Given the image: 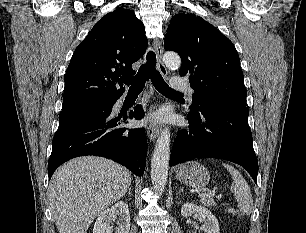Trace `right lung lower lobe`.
Listing matches in <instances>:
<instances>
[{
	"label": "right lung lower lobe",
	"mask_w": 306,
	"mask_h": 233,
	"mask_svg": "<svg viewBox=\"0 0 306 233\" xmlns=\"http://www.w3.org/2000/svg\"><path fill=\"white\" fill-rule=\"evenodd\" d=\"M111 108L59 122L48 162L49 179L61 164L84 155L103 156L122 164L138 176L144 174L147 155L145 130L119 128V118H112ZM143 115L142 107L136 106L129 117L139 120Z\"/></svg>",
	"instance_id": "obj_1"
}]
</instances>
